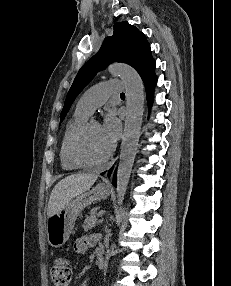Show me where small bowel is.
<instances>
[{
    "label": "small bowel",
    "instance_id": "small-bowel-1",
    "mask_svg": "<svg viewBox=\"0 0 231 286\" xmlns=\"http://www.w3.org/2000/svg\"><path fill=\"white\" fill-rule=\"evenodd\" d=\"M97 240L98 236L96 235H85L75 241L74 250L78 254H84Z\"/></svg>",
    "mask_w": 231,
    "mask_h": 286
}]
</instances>
